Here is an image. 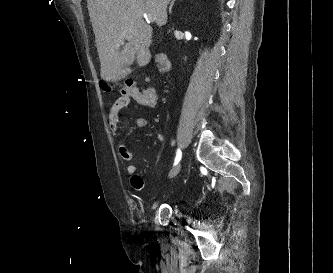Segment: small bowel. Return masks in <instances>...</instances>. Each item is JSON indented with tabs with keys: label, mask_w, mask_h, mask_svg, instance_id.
Returning <instances> with one entry per match:
<instances>
[{
	"label": "small bowel",
	"mask_w": 333,
	"mask_h": 273,
	"mask_svg": "<svg viewBox=\"0 0 333 273\" xmlns=\"http://www.w3.org/2000/svg\"><path fill=\"white\" fill-rule=\"evenodd\" d=\"M130 102H136L145 107H154L157 103L155 84H144V88L141 90L138 89L134 95H130V97L121 96L115 101L110 110L112 116L111 129L115 135L117 114ZM135 125L139 128H145L148 126V121L144 118H138L135 121ZM119 153L124 161H132L135 157V154L123 144L119 146ZM126 172L130 175V184L132 188L136 191L143 190L144 182L142 177L136 174V166L134 164L127 165Z\"/></svg>",
	"instance_id": "c3829d8e"
}]
</instances>
